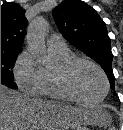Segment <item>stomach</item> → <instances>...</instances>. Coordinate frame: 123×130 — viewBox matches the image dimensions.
I'll use <instances>...</instances> for the list:
<instances>
[{
	"instance_id": "obj_1",
	"label": "stomach",
	"mask_w": 123,
	"mask_h": 130,
	"mask_svg": "<svg viewBox=\"0 0 123 130\" xmlns=\"http://www.w3.org/2000/svg\"><path fill=\"white\" fill-rule=\"evenodd\" d=\"M71 130H88V128L84 125H76L72 127Z\"/></svg>"
}]
</instances>
